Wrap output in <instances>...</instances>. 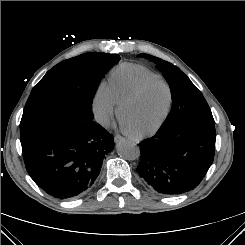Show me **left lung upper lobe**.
<instances>
[{
    "instance_id": "5c2ea615",
    "label": "left lung upper lobe",
    "mask_w": 245,
    "mask_h": 245,
    "mask_svg": "<svg viewBox=\"0 0 245 245\" xmlns=\"http://www.w3.org/2000/svg\"><path fill=\"white\" fill-rule=\"evenodd\" d=\"M139 56L156 63L169 83L173 105L161 128H165L183 117H195L215 123L202 93L178 67L148 54H140Z\"/></svg>"
}]
</instances>
